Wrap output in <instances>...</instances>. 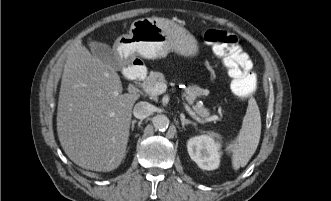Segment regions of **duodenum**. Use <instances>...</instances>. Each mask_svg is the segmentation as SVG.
Returning a JSON list of instances; mask_svg holds the SVG:
<instances>
[{
    "label": "duodenum",
    "mask_w": 331,
    "mask_h": 201,
    "mask_svg": "<svg viewBox=\"0 0 331 201\" xmlns=\"http://www.w3.org/2000/svg\"><path fill=\"white\" fill-rule=\"evenodd\" d=\"M126 76L131 80H140L145 76L146 68L139 58L129 59L127 62Z\"/></svg>",
    "instance_id": "410a0bca"
}]
</instances>
